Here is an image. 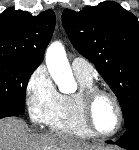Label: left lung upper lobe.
I'll use <instances>...</instances> for the list:
<instances>
[{"label":"left lung upper lobe","mask_w":139,"mask_h":150,"mask_svg":"<svg viewBox=\"0 0 139 150\" xmlns=\"http://www.w3.org/2000/svg\"><path fill=\"white\" fill-rule=\"evenodd\" d=\"M66 33L115 93L125 128L139 123V22L118 3L105 1L80 12L65 9Z\"/></svg>","instance_id":"1"}]
</instances>
